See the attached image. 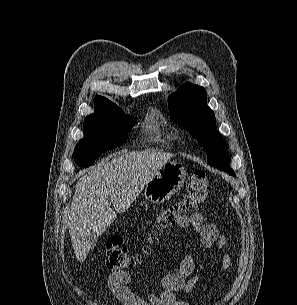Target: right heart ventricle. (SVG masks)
<instances>
[{
    "mask_svg": "<svg viewBox=\"0 0 297 305\" xmlns=\"http://www.w3.org/2000/svg\"><path fill=\"white\" fill-rule=\"evenodd\" d=\"M146 133L150 141L152 142H163L162 132L159 126L156 124L155 119L151 116L148 119L146 125Z\"/></svg>",
    "mask_w": 297,
    "mask_h": 305,
    "instance_id": "e07e8e85",
    "label": "right heart ventricle"
}]
</instances>
